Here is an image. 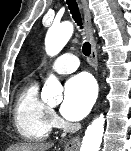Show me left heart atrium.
<instances>
[{"instance_id":"obj_1","label":"left heart atrium","mask_w":131,"mask_h":151,"mask_svg":"<svg viewBox=\"0 0 131 151\" xmlns=\"http://www.w3.org/2000/svg\"><path fill=\"white\" fill-rule=\"evenodd\" d=\"M96 97V84L87 73L71 77L64 90L62 115L71 121L82 119L91 109Z\"/></svg>"}]
</instances>
